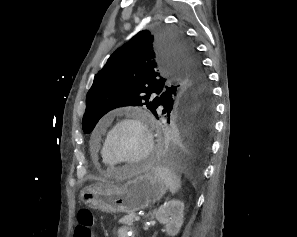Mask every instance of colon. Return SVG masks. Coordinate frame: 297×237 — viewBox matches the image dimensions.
I'll use <instances>...</instances> for the list:
<instances>
[{
  "mask_svg": "<svg viewBox=\"0 0 297 237\" xmlns=\"http://www.w3.org/2000/svg\"><path fill=\"white\" fill-rule=\"evenodd\" d=\"M75 237H93V216L86 208L78 212Z\"/></svg>",
  "mask_w": 297,
  "mask_h": 237,
  "instance_id": "obj_1",
  "label": "colon"
}]
</instances>
